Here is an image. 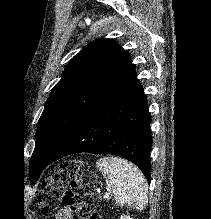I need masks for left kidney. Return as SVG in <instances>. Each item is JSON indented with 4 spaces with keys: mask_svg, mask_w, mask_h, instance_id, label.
<instances>
[{
    "mask_svg": "<svg viewBox=\"0 0 211 219\" xmlns=\"http://www.w3.org/2000/svg\"><path fill=\"white\" fill-rule=\"evenodd\" d=\"M120 219H133V218H131L129 215H123L121 216Z\"/></svg>",
    "mask_w": 211,
    "mask_h": 219,
    "instance_id": "left-kidney-1",
    "label": "left kidney"
}]
</instances>
